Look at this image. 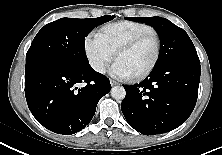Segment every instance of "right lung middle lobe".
I'll return each instance as SVG.
<instances>
[{
  "label": "right lung middle lobe",
  "mask_w": 222,
  "mask_h": 155,
  "mask_svg": "<svg viewBox=\"0 0 222 155\" xmlns=\"http://www.w3.org/2000/svg\"><path fill=\"white\" fill-rule=\"evenodd\" d=\"M114 16L98 18H61L48 23L35 36L27 54L25 75L50 65L82 66L89 64L85 37L98 25Z\"/></svg>",
  "instance_id": "dd1d6c3e"
}]
</instances>
